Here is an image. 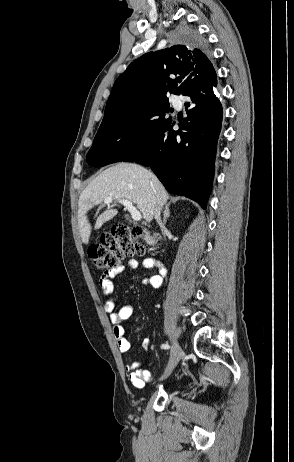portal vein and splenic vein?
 Listing matches in <instances>:
<instances>
[{"instance_id": "portal-vein-and-splenic-vein-1", "label": "portal vein and splenic vein", "mask_w": 294, "mask_h": 462, "mask_svg": "<svg viewBox=\"0 0 294 462\" xmlns=\"http://www.w3.org/2000/svg\"><path fill=\"white\" fill-rule=\"evenodd\" d=\"M113 198L112 197H107L104 200V203H110L112 202ZM119 203H121L131 214V217L134 221H140L142 216L141 213L136 209V207L133 206L132 202L129 200L125 199H120L118 200Z\"/></svg>"}]
</instances>
